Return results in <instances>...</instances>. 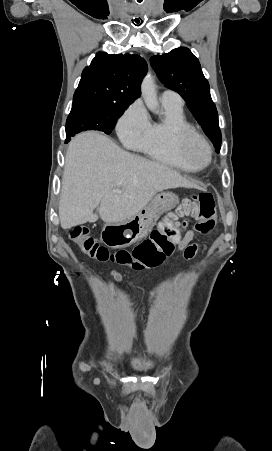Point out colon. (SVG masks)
Here are the masks:
<instances>
[{
  "label": "colon",
  "instance_id": "5ec220e1",
  "mask_svg": "<svg viewBox=\"0 0 272 451\" xmlns=\"http://www.w3.org/2000/svg\"><path fill=\"white\" fill-rule=\"evenodd\" d=\"M181 214H188L196 221L195 230L199 234H210L216 227L217 208L215 197L210 193H196L182 199L179 203ZM176 217V215H172ZM163 230L154 229L150 239L142 241L132 251L114 253V262L120 265L141 270L145 267L161 265L175 249V240L179 238L177 231L167 223H161ZM67 237L78 244L84 254L96 257L97 262H107L111 250L104 249L90 235L85 226L74 225L67 229Z\"/></svg>",
  "mask_w": 272,
  "mask_h": 451
}]
</instances>
